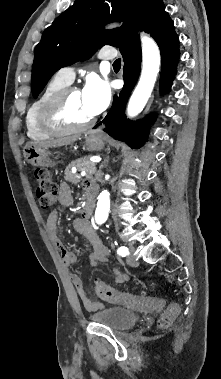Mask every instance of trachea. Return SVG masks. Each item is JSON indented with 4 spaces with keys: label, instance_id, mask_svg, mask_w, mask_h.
<instances>
[{
    "label": "trachea",
    "instance_id": "obj_1",
    "mask_svg": "<svg viewBox=\"0 0 221 379\" xmlns=\"http://www.w3.org/2000/svg\"><path fill=\"white\" fill-rule=\"evenodd\" d=\"M113 65L114 66H121V60L120 59L115 60Z\"/></svg>",
    "mask_w": 221,
    "mask_h": 379
}]
</instances>
